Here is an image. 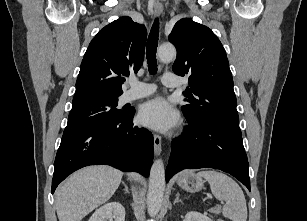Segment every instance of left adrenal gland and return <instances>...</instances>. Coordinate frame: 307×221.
<instances>
[{"label": "left adrenal gland", "mask_w": 307, "mask_h": 221, "mask_svg": "<svg viewBox=\"0 0 307 221\" xmlns=\"http://www.w3.org/2000/svg\"><path fill=\"white\" fill-rule=\"evenodd\" d=\"M177 202H181L182 203V200L180 199V195L179 194L176 195V198H175L173 204H176Z\"/></svg>", "instance_id": "obj_1"}]
</instances>
